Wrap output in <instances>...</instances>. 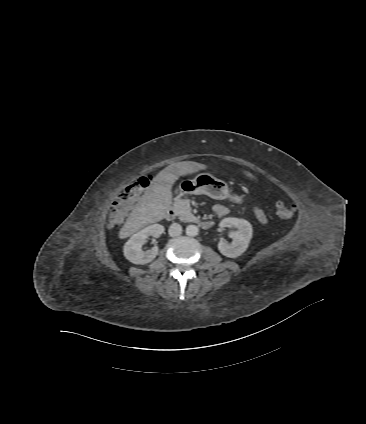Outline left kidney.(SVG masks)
<instances>
[{
	"label": "left kidney",
	"instance_id": "5707ae66",
	"mask_svg": "<svg viewBox=\"0 0 366 424\" xmlns=\"http://www.w3.org/2000/svg\"><path fill=\"white\" fill-rule=\"evenodd\" d=\"M219 226L221 228H237L229 236L233 239V242L228 244L224 241H219L218 249L220 253L229 258H236L243 254L252 238V225L245 219L228 217L221 220Z\"/></svg>",
	"mask_w": 366,
	"mask_h": 424
}]
</instances>
